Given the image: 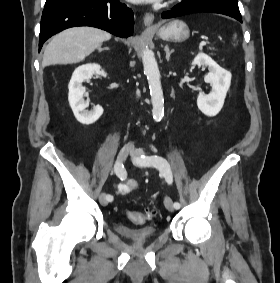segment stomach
I'll list each match as a JSON object with an SVG mask.
<instances>
[{
	"label": "stomach",
	"instance_id": "0dacf381",
	"mask_svg": "<svg viewBox=\"0 0 280 283\" xmlns=\"http://www.w3.org/2000/svg\"><path fill=\"white\" fill-rule=\"evenodd\" d=\"M156 35L165 41L183 42L190 36V30L182 20H172L156 30Z\"/></svg>",
	"mask_w": 280,
	"mask_h": 283
}]
</instances>
